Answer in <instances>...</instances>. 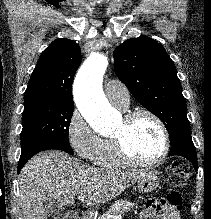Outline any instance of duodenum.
Wrapping results in <instances>:
<instances>
[{"mask_svg": "<svg viewBox=\"0 0 211 219\" xmlns=\"http://www.w3.org/2000/svg\"><path fill=\"white\" fill-rule=\"evenodd\" d=\"M77 212H79V211H77ZM79 214H80L79 219H94V215H93L92 211H85L83 213L79 212Z\"/></svg>", "mask_w": 211, "mask_h": 219, "instance_id": "410a0bca", "label": "duodenum"}]
</instances>
